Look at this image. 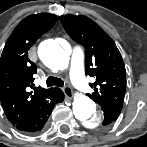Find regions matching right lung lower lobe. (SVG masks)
<instances>
[{
    "label": "right lung lower lobe",
    "mask_w": 147,
    "mask_h": 147,
    "mask_svg": "<svg viewBox=\"0 0 147 147\" xmlns=\"http://www.w3.org/2000/svg\"><path fill=\"white\" fill-rule=\"evenodd\" d=\"M64 100V93L61 89L55 88L53 90V96L44 104L36 113L21 121L14 126L23 132H37L43 129L46 121L52 113L53 107L56 103H61Z\"/></svg>",
    "instance_id": "1"
}]
</instances>
